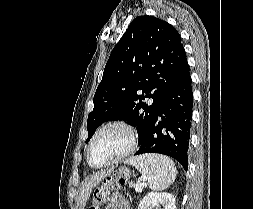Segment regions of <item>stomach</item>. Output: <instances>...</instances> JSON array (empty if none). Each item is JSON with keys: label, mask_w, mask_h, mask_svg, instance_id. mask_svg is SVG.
I'll return each mask as SVG.
<instances>
[{"label": "stomach", "mask_w": 253, "mask_h": 209, "mask_svg": "<svg viewBox=\"0 0 253 209\" xmlns=\"http://www.w3.org/2000/svg\"><path fill=\"white\" fill-rule=\"evenodd\" d=\"M117 175L119 174L118 172L116 173ZM115 177H117V176H115ZM119 179H124V174H119ZM112 180V179H111ZM113 180H115V179H113ZM106 181H108V180H106ZM105 185L106 184H102L101 185V187H99V188H96L97 189V191H101L102 189H103V187H105ZM97 197H98V195H97ZM95 200H96V202H97V204H99L100 203V201L99 200H97L96 198H94Z\"/></svg>", "instance_id": "1"}]
</instances>
